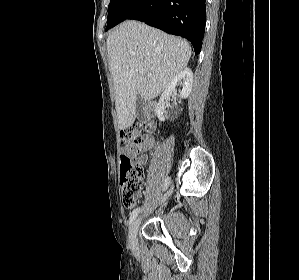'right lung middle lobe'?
<instances>
[{"mask_svg":"<svg viewBox=\"0 0 299 280\" xmlns=\"http://www.w3.org/2000/svg\"><path fill=\"white\" fill-rule=\"evenodd\" d=\"M132 0H110L108 6V18L106 31L116 25V21L122 11Z\"/></svg>","mask_w":299,"mask_h":280,"instance_id":"obj_1","label":"right lung middle lobe"}]
</instances>
